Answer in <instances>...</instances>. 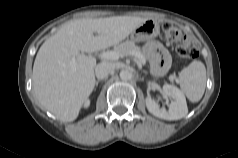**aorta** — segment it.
Here are the masks:
<instances>
[{"mask_svg": "<svg viewBox=\"0 0 238 158\" xmlns=\"http://www.w3.org/2000/svg\"><path fill=\"white\" fill-rule=\"evenodd\" d=\"M132 77V74L128 70H121L120 71V78L124 81L130 80Z\"/></svg>", "mask_w": 238, "mask_h": 158, "instance_id": "762f6f07", "label": "aorta"}]
</instances>
